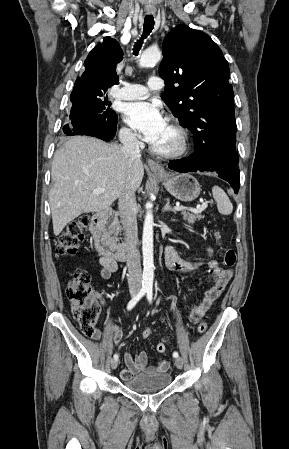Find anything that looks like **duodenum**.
I'll list each match as a JSON object with an SVG mask.
<instances>
[{
	"label": "duodenum",
	"mask_w": 289,
	"mask_h": 449,
	"mask_svg": "<svg viewBox=\"0 0 289 449\" xmlns=\"http://www.w3.org/2000/svg\"><path fill=\"white\" fill-rule=\"evenodd\" d=\"M111 214L112 210L110 208H105L95 213L91 218L89 229L95 245L102 256L123 261L129 256L134 245L118 244L107 235L105 223Z\"/></svg>",
	"instance_id": "obj_1"
}]
</instances>
